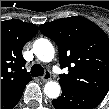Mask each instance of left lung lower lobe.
Instances as JSON below:
<instances>
[{
	"mask_svg": "<svg viewBox=\"0 0 109 109\" xmlns=\"http://www.w3.org/2000/svg\"><path fill=\"white\" fill-rule=\"evenodd\" d=\"M60 85L62 94L52 101L55 109H93L104 99L68 84L60 83Z\"/></svg>",
	"mask_w": 109,
	"mask_h": 109,
	"instance_id": "1",
	"label": "left lung lower lobe"
}]
</instances>
